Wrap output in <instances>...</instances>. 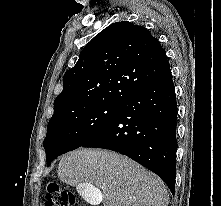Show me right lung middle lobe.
<instances>
[{"label": "right lung middle lobe", "mask_w": 221, "mask_h": 206, "mask_svg": "<svg viewBox=\"0 0 221 206\" xmlns=\"http://www.w3.org/2000/svg\"><path fill=\"white\" fill-rule=\"evenodd\" d=\"M121 105L93 103L53 114L44 139L47 166L59 155L81 147L105 128Z\"/></svg>", "instance_id": "obj_1"}]
</instances>
